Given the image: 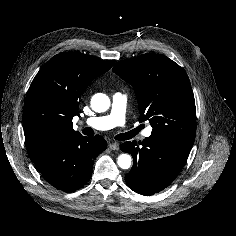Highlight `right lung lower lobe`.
<instances>
[{
	"instance_id": "right-lung-lower-lobe-1",
	"label": "right lung lower lobe",
	"mask_w": 236,
	"mask_h": 236,
	"mask_svg": "<svg viewBox=\"0 0 236 236\" xmlns=\"http://www.w3.org/2000/svg\"><path fill=\"white\" fill-rule=\"evenodd\" d=\"M99 135H71L28 154L43 177L54 187L70 192L82 187L91 177L94 159L106 149Z\"/></svg>"
}]
</instances>
